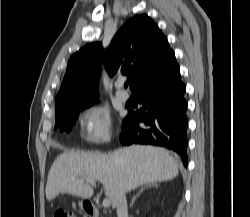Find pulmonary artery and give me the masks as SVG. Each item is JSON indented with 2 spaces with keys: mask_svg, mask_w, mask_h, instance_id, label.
<instances>
[{
  "mask_svg": "<svg viewBox=\"0 0 250 217\" xmlns=\"http://www.w3.org/2000/svg\"><path fill=\"white\" fill-rule=\"evenodd\" d=\"M115 96L121 102H126L129 99L128 93L122 90L121 82L116 84Z\"/></svg>",
  "mask_w": 250,
  "mask_h": 217,
  "instance_id": "e3ab8cb5",
  "label": "pulmonary artery"
}]
</instances>
